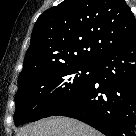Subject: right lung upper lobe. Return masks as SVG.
<instances>
[{
    "label": "right lung upper lobe",
    "instance_id": "cb5924a9",
    "mask_svg": "<svg viewBox=\"0 0 136 136\" xmlns=\"http://www.w3.org/2000/svg\"><path fill=\"white\" fill-rule=\"evenodd\" d=\"M134 38L136 19L124 0H65L37 19L18 83L52 66L94 64Z\"/></svg>",
    "mask_w": 136,
    "mask_h": 136
}]
</instances>
